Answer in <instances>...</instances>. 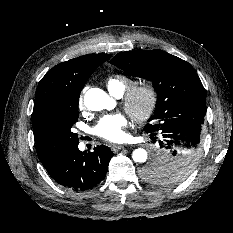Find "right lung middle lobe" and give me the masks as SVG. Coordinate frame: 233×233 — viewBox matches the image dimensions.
I'll return each mask as SVG.
<instances>
[{
	"label": "right lung middle lobe",
	"instance_id": "obj_1",
	"mask_svg": "<svg viewBox=\"0 0 233 233\" xmlns=\"http://www.w3.org/2000/svg\"><path fill=\"white\" fill-rule=\"evenodd\" d=\"M78 100L44 107L32 117L38 156L79 143L77 134L71 131L79 117Z\"/></svg>",
	"mask_w": 233,
	"mask_h": 233
}]
</instances>
